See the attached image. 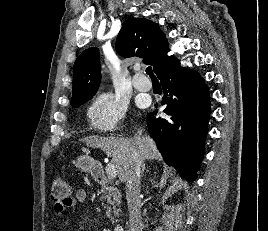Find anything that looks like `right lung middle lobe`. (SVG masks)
Returning a JSON list of instances; mask_svg holds the SVG:
<instances>
[{
  "label": "right lung middle lobe",
  "mask_w": 268,
  "mask_h": 231,
  "mask_svg": "<svg viewBox=\"0 0 268 231\" xmlns=\"http://www.w3.org/2000/svg\"><path fill=\"white\" fill-rule=\"evenodd\" d=\"M87 100H89V99H86V100H83V101H80V102H77V103H74V104H71L72 105V107H78V106H80L81 104H83V103H85Z\"/></svg>",
  "instance_id": "right-lung-middle-lobe-1"
}]
</instances>
